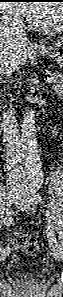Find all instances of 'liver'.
Here are the masks:
<instances>
[{
  "label": "liver",
  "instance_id": "obj_1",
  "mask_svg": "<svg viewBox=\"0 0 63 297\" xmlns=\"http://www.w3.org/2000/svg\"><path fill=\"white\" fill-rule=\"evenodd\" d=\"M30 48L26 38L17 37L9 32L0 33V74L10 75L26 63Z\"/></svg>",
  "mask_w": 63,
  "mask_h": 297
}]
</instances>
